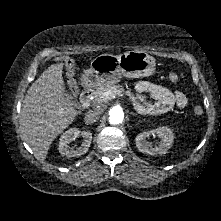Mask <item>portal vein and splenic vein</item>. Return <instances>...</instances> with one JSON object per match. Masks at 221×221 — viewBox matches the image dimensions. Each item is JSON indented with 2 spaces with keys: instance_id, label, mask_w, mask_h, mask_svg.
<instances>
[{
  "instance_id": "portal-vein-and-splenic-vein-1",
  "label": "portal vein and splenic vein",
  "mask_w": 221,
  "mask_h": 221,
  "mask_svg": "<svg viewBox=\"0 0 221 221\" xmlns=\"http://www.w3.org/2000/svg\"><path fill=\"white\" fill-rule=\"evenodd\" d=\"M115 96H121L122 97L123 94L122 93L114 94L111 91H107V92L104 93V97H105L106 100L114 98Z\"/></svg>"
}]
</instances>
